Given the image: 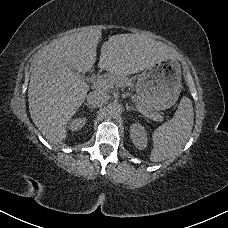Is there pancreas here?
<instances>
[{"mask_svg":"<svg viewBox=\"0 0 228 228\" xmlns=\"http://www.w3.org/2000/svg\"><path fill=\"white\" fill-rule=\"evenodd\" d=\"M104 78L112 81L113 84H115L116 86L121 87V88H125V87L133 88L134 87V83H133L132 79L128 78L127 76H124V75H117V74H114V73H108V74H106L104 76ZM138 104L142 107L143 110H145L148 113L150 112L151 115L156 117L159 121L163 120V117L158 112H156V111L155 112H151L147 108V106H146V104L144 102L138 100Z\"/></svg>","mask_w":228,"mask_h":228,"instance_id":"1","label":"pancreas"}]
</instances>
